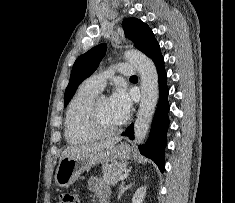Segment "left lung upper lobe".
<instances>
[{
	"instance_id": "left-lung-upper-lobe-1",
	"label": "left lung upper lobe",
	"mask_w": 235,
	"mask_h": 203,
	"mask_svg": "<svg viewBox=\"0 0 235 203\" xmlns=\"http://www.w3.org/2000/svg\"><path fill=\"white\" fill-rule=\"evenodd\" d=\"M122 25L125 36L131 39L135 47L144 54H147L149 49L157 42L149 26L137 18H126ZM106 49V44H100L77 58L65 91L64 106H67L79 84L96 70L105 55Z\"/></svg>"
}]
</instances>
